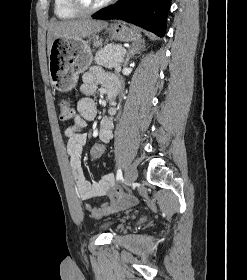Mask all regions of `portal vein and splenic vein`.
I'll use <instances>...</instances> for the list:
<instances>
[{
  "instance_id": "18ae733b",
  "label": "portal vein and splenic vein",
  "mask_w": 247,
  "mask_h": 280,
  "mask_svg": "<svg viewBox=\"0 0 247 280\" xmlns=\"http://www.w3.org/2000/svg\"><path fill=\"white\" fill-rule=\"evenodd\" d=\"M124 53H125V52H124ZM117 61L122 62V61H123V57L120 56V57L117 59Z\"/></svg>"
}]
</instances>
